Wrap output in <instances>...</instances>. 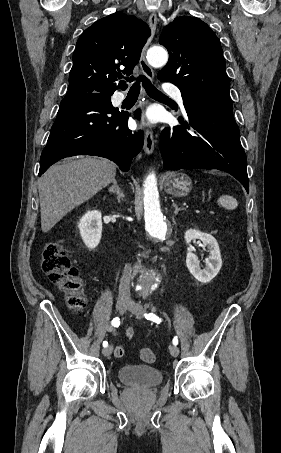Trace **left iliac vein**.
I'll use <instances>...</instances> for the list:
<instances>
[{"mask_svg": "<svg viewBox=\"0 0 281 453\" xmlns=\"http://www.w3.org/2000/svg\"><path fill=\"white\" fill-rule=\"evenodd\" d=\"M128 309L129 310L126 311L127 313L132 312V314H135L137 316L145 315V310H142L143 308L140 307V304H137L136 302H130V304L128 305ZM170 354L171 356H178L179 354L178 346L172 345L170 347Z\"/></svg>", "mask_w": 281, "mask_h": 453, "instance_id": "obj_1", "label": "left iliac vein"}]
</instances>
